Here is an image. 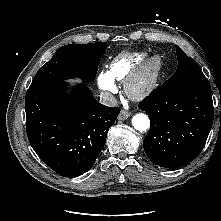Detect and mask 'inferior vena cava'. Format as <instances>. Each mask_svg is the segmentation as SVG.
Wrapping results in <instances>:
<instances>
[{
    "label": "inferior vena cava",
    "instance_id": "obj_1",
    "mask_svg": "<svg viewBox=\"0 0 221 221\" xmlns=\"http://www.w3.org/2000/svg\"><path fill=\"white\" fill-rule=\"evenodd\" d=\"M100 102L108 107H113L117 105V100L115 96L109 92L101 93Z\"/></svg>",
    "mask_w": 221,
    "mask_h": 221
}]
</instances>
